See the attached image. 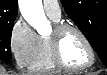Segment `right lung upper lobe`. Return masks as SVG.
Instances as JSON below:
<instances>
[{
    "instance_id": "1",
    "label": "right lung upper lobe",
    "mask_w": 107,
    "mask_h": 75,
    "mask_svg": "<svg viewBox=\"0 0 107 75\" xmlns=\"http://www.w3.org/2000/svg\"><path fill=\"white\" fill-rule=\"evenodd\" d=\"M17 11V0H0V23L14 22Z\"/></svg>"
}]
</instances>
